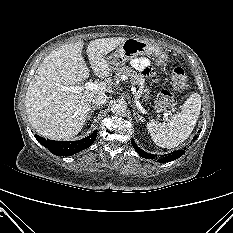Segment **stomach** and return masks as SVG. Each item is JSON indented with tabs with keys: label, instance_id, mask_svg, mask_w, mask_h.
<instances>
[{
	"label": "stomach",
	"instance_id": "0dacf381",
	"mask_svg": "<svg viewBox=\"0 0 233 233\" xmlns=\"http://www.w3.org/2000/svg\"><path fill=\"white\" fill-rule=\"evenodd\" d=\"M143 54L156 57V62L158 65L164 64L167 60L166 54L159 47L155 46L149 41L138 38H128L108 58V63L111 70H116L124 65L126 61ZM144 92L146 93V95H144V99H147V89H145Z\"/></svg>",
	"mask_w": 233,
	"mask_h": 233
}]
</instances>
